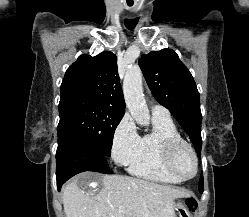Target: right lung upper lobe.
<instances>
[{"label":"right lung upper lobe","instance_id":"obj_1","mask_svg":"<svg viewBox=\"0 0 249 217\" xmlns=\"http://www.w3.org/2000/svg\"><path fill=\"white\" fill-rule=\"evenodd\" d=\"M117 69V57L110 51L96 56L83 54L66 71L60 87L62 98H83L125 111Z\"/></svg>","mask_w":249,"mask_h":217}]
</instances>
